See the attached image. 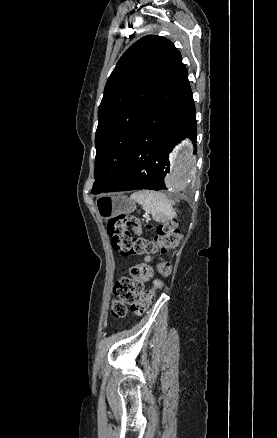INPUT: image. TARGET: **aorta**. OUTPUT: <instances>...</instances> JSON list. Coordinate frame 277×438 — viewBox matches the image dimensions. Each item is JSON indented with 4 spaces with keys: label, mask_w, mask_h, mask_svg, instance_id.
<instances>
[{
    "label": "aorta",
    "mask_w": 277,
    "mask_h": 438,
    "mask_svg": "<svg viewBox=\"0 0 277 438\" xmlns=\"http://www.w3.org/2000/svg\"><path fill=\"white\" fill-rule=\"evenodd\" d=\"M196 162L191 142H181L172 154L171 172L166 179L168 187L173 191L188 190L197 172Z\"/></svg>",
    "instance_id": "aorta-1"
}]
</instances>
